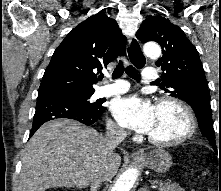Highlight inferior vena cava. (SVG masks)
<instances>
[{
    "instance_id": "obj_1",
    "label": "inferior vena cava",
    "mask_w": 221,
    "mask_h": 191,
    "mask_svg": "<svg viewBox=\"0 0 221 191\" xmlns=\"http://www.w3.org/2000/svg\"><path fill=\"white\" fill-rule=\"evenodd\" d=\"M124 133L118 127L108 129L105 134L104 141L108 152L113 153L114 149L122 142ZM105 181L104 172L94 175L91 180V191H97L100 184Z\"/></svg>"
}]
</instances>
